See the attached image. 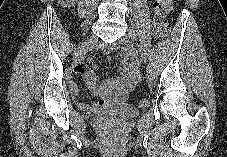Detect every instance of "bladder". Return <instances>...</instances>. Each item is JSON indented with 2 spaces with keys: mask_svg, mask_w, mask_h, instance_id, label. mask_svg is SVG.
<instances>
[{
  "mask_svg": "<svg viewBox=\"0 0 227 157\" xmlns=\"http://www.w3.org/2000/svg\"><path fill=\"white\" fill-rule=\"evenodd\" d=\"M139 114L138 109L135 107L118 103L113 105L104 106L95 113L100 118H110L115 120H127L136 117Z\"/></svg>",
  "mask_w": 227,
  "mask_h": 157,
  "instance_id": "31cf9c89",
  "label": "bladder"
}]
</instances>
